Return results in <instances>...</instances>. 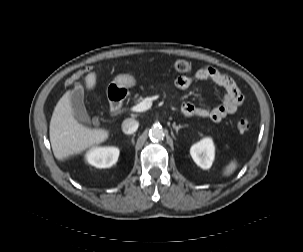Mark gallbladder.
Here are the masks:
<instances>
[{"instance_id":"obj_1","label":"gallbladder","mask_w":303,"mask_h":252,"mask_svg":"<svg viewBox=\"0 0 303 252\" xmlns=\"http://www.w3.org/2000/svg\"><path fill=\"white\" fill-rule=\"evenodd\" d=\"M71 102L75 119L81 124H90L91 119L86 111L82 95L79 93H73L71 96Z\"/></svg>"}]
</instances>
